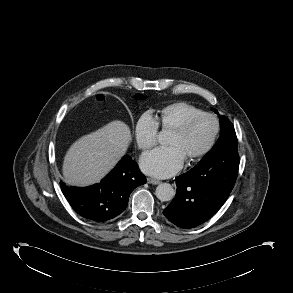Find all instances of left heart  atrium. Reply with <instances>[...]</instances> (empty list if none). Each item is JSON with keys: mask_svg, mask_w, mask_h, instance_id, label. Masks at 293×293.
<instances>
[{"mask_svg": "<svg viewBox=\"0 0 293 293\" xmlns=\"http://www.w3.org/2000/svg\"><path fill=\"white\" fill-rule=\"evenodd\" d=\"M185 158L176 147L157 148L141 158L142 170L157 178H167L178 171L184 165Z\"/></svg>", "mask_w": 293, "mask_h": 293, "instance_id": "39dd6f15", "label": "left heart atrium"}]
</instances>
